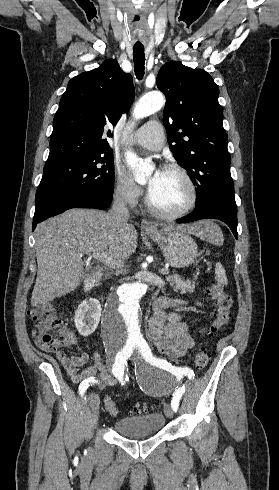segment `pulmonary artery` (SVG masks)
Segmentation results:
<instances>
[{"mask_svg": "<svg viewBox=\"0 0 279 490\" xmlns=\"http://www.w3.org/2000/svg\"><path fill=\"white\" fill-rule=\"evenodd\" d=\"M165 129V122H154L150 119L148 124L138 130L136 142L144 148L160 150L164 144L162 137L165 136Z\"/></svg>", "mask_w": 279, "mask_h": 490, "instance_id": "obj_1", "label": "pulmonary artery"}]
</instances>
